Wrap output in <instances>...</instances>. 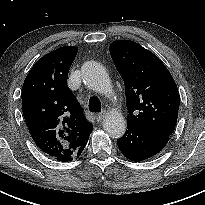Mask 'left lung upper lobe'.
<instances>
[{
	"mask_svg": "<svg viewBox=\"0 0 205 205\" xmlns=\"http://www.w3.org/2000/svg\"><path fill=\"white\" fill-rule=\"evenodd\" d=\"M110 54L125 83L127 124L170 136L176 126L180 97L163 62L130 40L112 42Z\"/></svg>",
	"mask_w": 205,
	"mask_h": 205,
	"instance_id": "5c2ea615",
	"label": "left lung upper lobe"
}]
</instances>
